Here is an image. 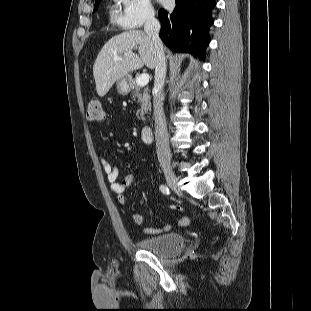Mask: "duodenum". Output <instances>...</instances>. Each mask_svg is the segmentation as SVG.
<instances>
[{"label":"duodenum","mask_w":311,"mask_h":311,"mask_svg":"<svg viewBox=\"0 0 311 311\" xmlns=\"http://www.w3.org/2000/svg\"><path fill=\"white\" fill-rule=\"evenodd\" d=\"M141 136L144 142H151V127L146 125L141 129Z\"/></svg>","instance_id":"obj_1"}]
</instances>
